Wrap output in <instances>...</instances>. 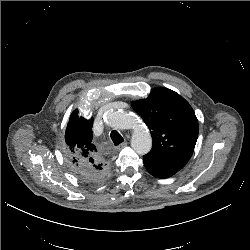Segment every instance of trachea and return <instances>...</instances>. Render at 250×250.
<instances>
[{"label":"trachea","mask_w":250,"mask_h":250,"mask_svg":"<svg viewBox=\"0 0 250 250\" xmlns=\"http://www.w3.org/2000/svg\"><path fill=\"white\" fill-rule=\"evenodd\" d=\"M110 137L115 146L121 144L124 141L123 137L115 130L111 132Z\"/></svg>","instance_id":"trachea-1"}]
</instances>
